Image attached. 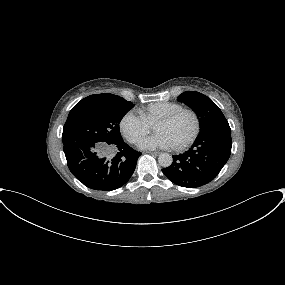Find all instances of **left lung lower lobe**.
I'll use <instances>...</instances> for the list:
<instances>
[{
  "instance_id": "left-lung-lower-lobe-1",
  "label": "left lung lower lobe",
  "mask_w": 285,
  "mask_h": 285,
  "mask_svg": "<svg viewBox=\"0 0 285 285\" xmlns=\"http://www.w3.org/2000/svg\"><path fill=\"white\" fill-rule=\"evenodd\" d=\"M231 147L230 127L203 129L189 151L173 156L172 164L162 172L179 186L200 187L218 175L229 159Z\"/></svg>"
}]
</instances>
